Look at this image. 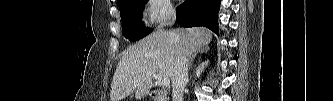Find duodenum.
Returning a JSON list of instances; mask_svg holds the SVG:
<instances>
[{
	"instance_id": "1",
	"label": "duodenum",
	"mask_w": 333,
	"mask_h": 101,
	"mask_svg": "<svg viewBox=\"0 0 333 101\" xmlns=\"http://www.w3.org/2000/svg\"><path fill=\"white\" fill-rule=\"evenodd\" d=\"M151 97L154 101H166V97L163 92L155 91L151 94Z\"/></svg>"
}]
</instances>
